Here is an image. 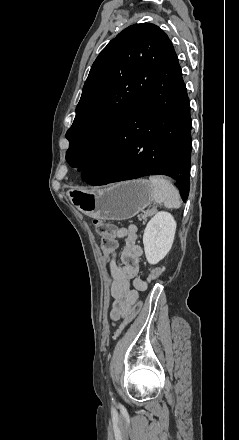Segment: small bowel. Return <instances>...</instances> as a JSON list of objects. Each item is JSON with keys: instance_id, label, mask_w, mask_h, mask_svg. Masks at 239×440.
<instances>
[{"instance_id": "small-bowel-1", "label": "small bowel", "mask_w": 239, "mask_h": 440, "mask_svg": "<svg viewBox=\"0 0 239 440\" xmlns=\"http://www.w3.org/2000/svg\"><path fill=\"white\" fill-rule=\"evenodd\" d=\"M137 238L138 229L135 225L116 229V242L110 252L109 260V272L112 279L110 292L113 298L110 312L112 322L129 316L132 312V306L137 301L138 292L147 287V282L138 277L139 262L143 251L137 244ZM119 239L125 240L120 263L117 261Z\"/></svg>"}]
</instances>
